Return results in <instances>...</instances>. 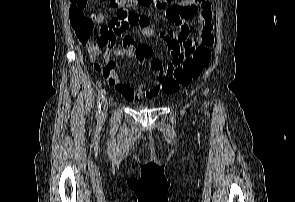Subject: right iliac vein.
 Returning a JSON list of instances; mask_svg holds the SVG:
<instances>
[{
  "label": "right iliac vein",
  "instance_id": "obj_1",
  "mask_svg": "<svg viewBox=\"0 0 295 202\" xmlns=\"http://www.w3.org/2000/svg\"><path fill=\"white\" fill-rule=\"evenodd\" d=\"M107 109H108V99H107V97H105V98L103 99V108H102V112L105 113V112L107 111Z\"/></svg>",
  "mask_w": 295,
  "mask_h": 202
}]
</instances>
